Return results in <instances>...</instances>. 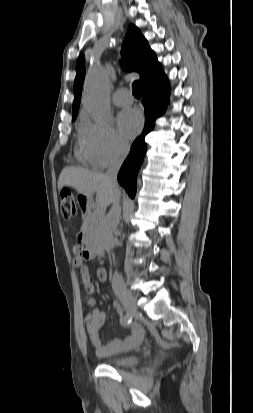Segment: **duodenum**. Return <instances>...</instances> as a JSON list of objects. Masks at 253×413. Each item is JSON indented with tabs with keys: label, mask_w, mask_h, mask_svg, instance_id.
I'll list each match as a JSON object with an SVG mask.
<instances>
[{
	"label": "duodenum",
	"mask_w": 253,
	"mask_h": 413,
	"mask_svg": "<svg viewBox=\"0 0 253 413\" xmlns=\"http://www.w3.org/2000/svg\"><path fill=\"white\" fill-rule=\"evenodd\" d=\"M81 208L84 212L90 209V204L84 200L81 201ZM80 242L84 245L86 253L91 258L100 257L103 255V249L99 243L92 237L91 232L88 229H83L79 235Z\"/></svg>",
	"instance_id": "410a0bca"
}]
</instances>
